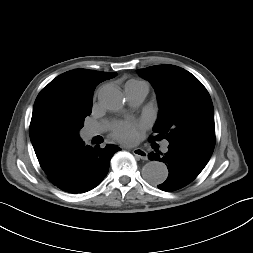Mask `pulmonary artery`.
I'll return each instance as SVG.
<instances>
[{
    "instance_id": "e3ab8cb5",
    "label": "pulmonary artery",
    "mask_w": 253,
    "mask_h": 253,
    "mask_svg": "<svg viewBox=\"0 0 253 253\" xmlns=\"http://www.w3.org/2000/svg\"><path fill=\"white\" fill-rule=\"evenodd\" d=\"M148 93V86L147 84H134L125 87V95L127 98L128 103L131 106H137L145 99ZM103 130V125H92L87 126L83 134L87 139H90L96 135H98ZM169 143L165 141L163 143V150L166 151L168 149Z\"/></svg>"
}]
</instances>
